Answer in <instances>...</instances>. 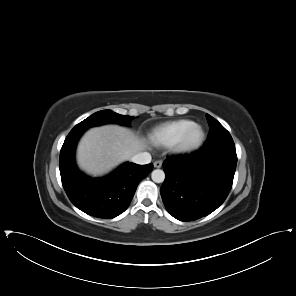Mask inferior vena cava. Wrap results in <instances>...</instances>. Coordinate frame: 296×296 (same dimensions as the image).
<instances>
[{
    "label": "inferior vena cava",
    "instance_id": "602c4592",
    "mask_svg": "<svg viewBox=\"0 0 296 296\" xmlns=\"http://www.w3.org/2000/svg\"><path fill=\"white\" fill-rule=\"evenodd\" d=\"M151 155L148 152H140L132 156L131 161L136 164L144 165L151 162Z\"/></svg>",
    "mask_w": 296,
    "mask_h": 296
}]
</instances>
